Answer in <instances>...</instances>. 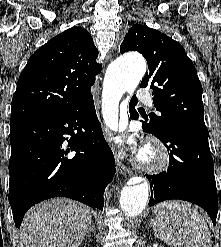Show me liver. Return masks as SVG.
<instances>
[{
    "mask_svg": "<svg viewBox=\"0 0 221 247\" xmlns=\"http://www.w3.org/2000/svg\"><path fill=\"white\" fill-rule=\"evenodd\" d=\"M92 223V210L80 202L55 198L32 207L21 228V247H79Z\"/></svg>",
    "mask_w": 221,
    "mask_h": 247,
    "instance_id": "obj_1",
    "label": "liver"
}]
</instances>
